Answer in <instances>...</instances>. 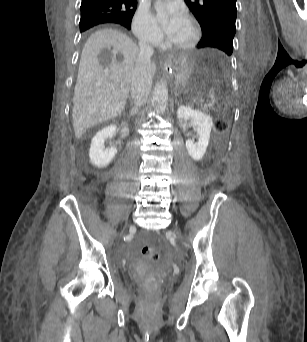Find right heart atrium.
Returning a JSON list of instances; mask_svg holds the SVG:
<instances>
[{
	"label": "right heart atrium",
	"instance_id": "obj_1",
	"mask_svg": "<svg viewBox=\"0 0 307 342\" xmlns=\"http://www.w3.org/2000/svg\"><path fill=\"white\" fill-rule=\"evenodd\" d=\"M132 32L141 40H149L156 36L154 26L147 20L144 13H137L132 21Z\"/></svg>",
	"mask_w": 307,
	"mask_h": 342
}]
</instances>
